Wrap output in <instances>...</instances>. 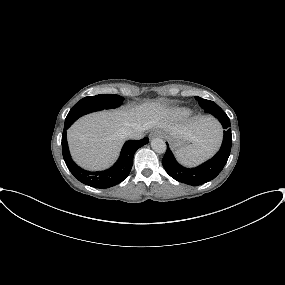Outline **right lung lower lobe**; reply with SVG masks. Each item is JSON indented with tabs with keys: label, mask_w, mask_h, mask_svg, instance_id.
<instances>
[{
	"label": "right lung lower lobe",
	"mask_w": 285,
	"mask_h": 285,
	"mask_svg": "<svg viewBox=\"0 0 285 285\" xmlns=\"http://www.w3.org/2000/svg\"><path fill=\"white\" fill-rule=\"evenodd\" d=\"M68 128L64 127L62 134V153L68 169L80 182L100 189L115 186L125 180L132 168L134 153L149 141L147 137L141 140L127 141L121 150L119 159L111 168L100 172H91L80 168L72 160L66 139V130Z\"/></svg>",
	"instance_id": "1"
}]
</instances>
